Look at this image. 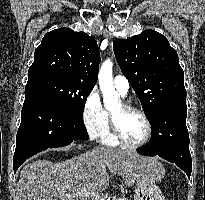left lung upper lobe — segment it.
I'll use <instances>...</instances> for the list:
<instances>
[{"instance_id": "1", "label": "left lung upper lobe", "mask_w": 205, "mask_h": 200, "mask_svg": "<svg viewBox=\"0 0 205 200\" xmlns=\"http://www.w3.org/2000/svg\"><path fill=\"white\" fill-rule=\"evenodd\" d=\"M113 50L150 122L166 103L186 99L184 72L164 35L145 30L126 40L116 39Z\"/></svg>"}]
</instances>
